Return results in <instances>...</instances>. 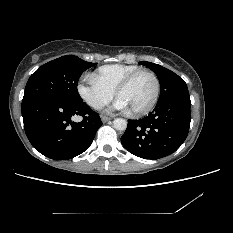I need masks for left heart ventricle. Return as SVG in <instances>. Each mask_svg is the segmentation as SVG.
<instances>
[{"instance_id":"1","label":"left heart ventricle","mask_w":233,"mask_h":233,"mask_svg":"<svg viewBox=\"0 0 233 233\" xmlns=\"http://www.w3.org/2000/svg\"><path fill=\"white\" fill-rule=\"evenodd\" d=\"M153 94L154 81L152 77L148 74H141L119 94L118 98L126 103L128 109L138 110L150 103Z\"/></svg>"}]
</instances>
